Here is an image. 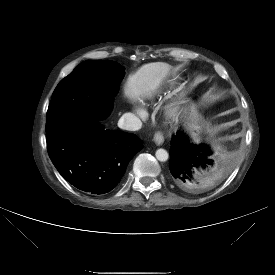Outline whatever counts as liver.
<instances>
[{"label": "liver", "mask_w": 275, "mask_h": 275, "mask_svg": "<svg viewBox=\"0 0 275 275\" xmlns=\"http://www.w3.org/2000/svg\"><path fill=\"white\" fill-rule=\"evenodd\" d=\"M170 65L164 62H153L141 66L128 77L124 93L133 101L150 98L157 93Z\"/></svg>", "instance_id": "obj_1"}]
</instances>
